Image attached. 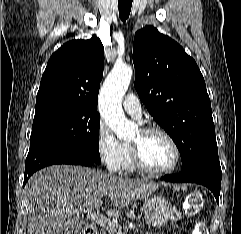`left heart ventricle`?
<instances>
[{
    "label": "left heart ventricle",
    "instance_id": "1",
    "mask_svg": "<svg viewBox=\"0 0 241 234\" xmlns=\"http://www.w3.org/2000/svg\"><path fill=\"white\" fill-rule=\"evenodd\" d=\"M131 143L141 144L142 157L145 163L153 169L168 168L174 161V149L161 134L142 136L141 132L138 131Z\"/></svg>",
    "mask_w": 241,
    "mask_h": 234
}]
</instances>
